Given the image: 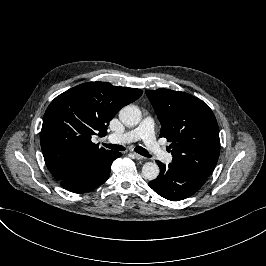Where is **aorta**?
I'll return each mask as SVG.
<instances>
[{"label":"aorta","instance_id":"obj_1","mask_svg":"<svg viewBox=\"0 0 266 266\" xmlns=\"http://www.w3.org/2000/svg\"><path fill=\"white\" fill-rule=\"evenodd\" d=\"M140 119L141 111L136 105H126L119 111V120L127 126L137 125ZM159 173L160 169L155 162H147L142 167V174L149 181L155 180Z\"/></svg>","mask_w":266,"mask_h":266}]
</instances>
